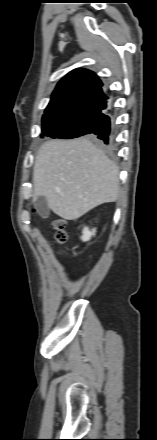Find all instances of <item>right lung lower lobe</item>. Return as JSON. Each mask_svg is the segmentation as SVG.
Instances as JSON below:
<instances>
[{"label": "right lung lower lobe", "mask_w": 157, "mask_h": 440, "mask_svg": "<svg viewBox=\"0 0 157 440\" xmlns=\"http://www.w3.org/2000/svg\"><path fill=\"white\" fill-rule=\"evenodd\" d=\"M89 128L98 135L97 138L103 140L105 144H109L110 117L108 112L100 115Z\"/></svg>", "instance_id": "98d812e1"}]
</instances>
